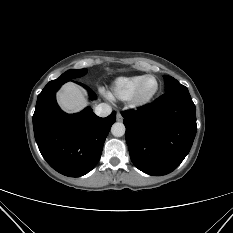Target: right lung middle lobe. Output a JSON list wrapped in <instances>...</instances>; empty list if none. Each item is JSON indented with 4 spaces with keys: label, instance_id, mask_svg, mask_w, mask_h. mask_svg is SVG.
I'll return each mask as SVG.
<instances>
[{
    "label": "right lung middle lobe",
    "instance_id": "right-lung-middle-lobe-1",
    "mask_svg": "<svg viewBox=\"0 0 233 233\" xmlns=\"http://www.w3.org/2000/svg\"><path fill=\"white\" fill-rule=\"evenodd\" d=\"M87 73V69H79V70H68L63 73L58 79L52 80L53 82H67L72 79L82 77Z\"/></svg>",
    "mask_w": 233,
    "mask_h": 233
}]
</instances>
